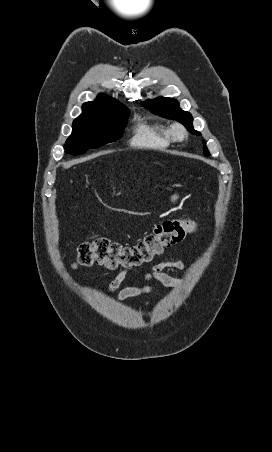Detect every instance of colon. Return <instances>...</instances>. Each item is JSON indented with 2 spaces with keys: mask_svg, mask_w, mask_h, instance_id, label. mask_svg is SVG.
Returning a JSON list of instances; mask_svg holds the SVG:
<instances>
[{
  "mask_svg": "<svg viewBox=\"0 0 272 452\" xmlns=\"http://www.w3.org/2000/svg\"><path fill=\"white\" fill-rule=\"evenodd\" d=\"M197 229L191 220L168 219L157 223L151 233L134 245H122L107 239L82 243L75 267L104 266L109 269L137 268L151 264L165 249L181 242Z\"/></svg>",
  "mask_w": 272,
  "mask_h": 452,
  "instance_id": "5ec220e1",
  "label": "colon"
}]
</instances>
